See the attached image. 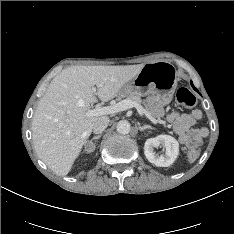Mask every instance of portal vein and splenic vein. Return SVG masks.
<instances>
[{
	"instance_id": "portal-vein-and-splenic-vein-1",
	"label": "portal vein and splenic vein",
	"mask_w": 234,
	"mask_h": 234,
	"mask_svg": "<svg viewBox=\"0 0 234 234\" xmlns=\"http://www.w3.org/2000/svg\"><path fill=\"white\" fill-rule=\"evenodd\" d=\"M93 91H96V88H93ZM132 107H135L139 113L140 116H143L146 114V110L138 103L133 102L131 100H122L118 103L109 105V106H100V105H95L94 109H91L87 112L88 116H100V115H108V114H113L117 113L120 111H124L127 109H130Z\"/></svg>"
}]
</instances>
